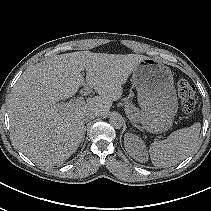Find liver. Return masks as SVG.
Returning a JSON list of instances; mask_svg holds the SVG:
<instances>
[{
	"mask_svg": "<svg viewBox=\"0 0 211 211\" xmlns=\"http://www.w3.org/2000/svg\"><path fill=\"white\" fill-rule=\"evenodd\" d=\"M145 56L90 51L56 55L28 68L9 98V118L15 146L41 166L61 165L79 147L84 135L82 115L106 114L120 99L123 85ZM87 85L99 96L74 108L62 109L60 100Z\"/></svg>",
	"mask_w": 211,
	"mask_h": 211,
	"instance_id": "6515ba94",
	"label": "liver"
}]
</instances>
